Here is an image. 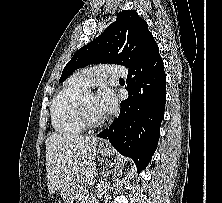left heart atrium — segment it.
<instances>
[{"mask_svg": "<svg viewBox=\"0 0 222 203\" xmlns=\"http://www.w3.org/2000/svg\"><path fill=\"white\" fill-rule=\"evenodd\" d=\"M95 100L97 109L103 115L112 113L116 107V97L108 88L101 89L95 96Z\"/></svg>", "mask_w": 222, "mask_h": 203, "instance_id": "1", "label": "left heart atrium"}]
</instances>
